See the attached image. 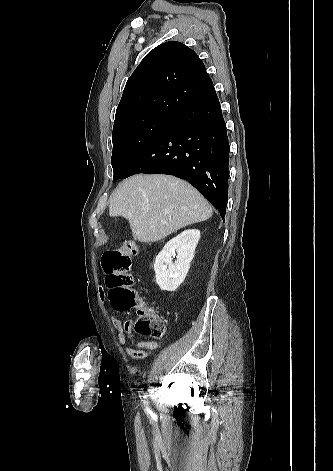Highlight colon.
<instances>
[{
  "instance_id": "1",
  "label": "colon",
  "mask_w": 333,
  "mask_h": 471,
  "mask_svg": "<svg viewBox=\"0 0 333 471\" xmlns=\"http://www.w3.org/2000/svg\"><path fill=\"white\" fill-rule=\"evenodd\" d=\"M137 253L134 240H125L119 248L107 251L102 256V266L109 287V299L118 311L137 309L135 330L147 337L161 339L165 334L164 319L143 300L134 290V277L131 274L132 257Z\"/></svg>"
}]
</instances>
